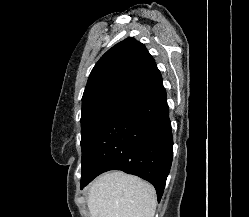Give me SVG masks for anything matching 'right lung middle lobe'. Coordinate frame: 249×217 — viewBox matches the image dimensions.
Here are the masks:
<instances>
[{
  "instance_id": "dd1d6c3e",
  "label": "right lung middle lobe",
  "mask_w": 249,
  "mask_h": 217,
  "mask_svg": "<svg viewBox=\"0 0 249 217\" xmlns=\"http://www.w3.org/2000/svg\"><path fill=\"white\" fill-rule=\"evenodd\" d=\"M124 92L111 91L100 94L82 102L81 114V148L82 156L87 150L91 136L97 125L110 107L123 95Z\"/></svg>"
}]
</instances>
